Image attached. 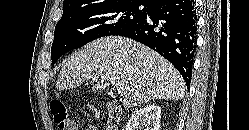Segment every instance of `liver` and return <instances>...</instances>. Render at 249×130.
I'll use <instances>...</instances> for the list:
<instances>
[{"label":"liver","instance_id":"6515ba94","mask_svg":"<svg viewBox=\"0 0 249 130\" xmlns=\"http://www.w3.org/2000/svg\"><path fill=\"white\" fill-rule=\"evenodd\" d=\"M97 84L93 90L110 84L125 87V108L154 99L179 100L185 84L180 73L152 49L124 37H102L87 44L63 62L56 87L75 89L85 80Z\"/></svg>","mask_w":249,"mask_h":130}]
</instances>
